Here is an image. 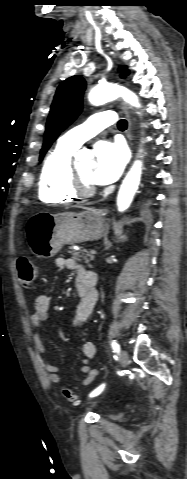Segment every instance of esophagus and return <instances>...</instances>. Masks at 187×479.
<instances>
[{
  "label": "esophagus",
  "instance_id": "esophagus-1",
  "mask_svg": "<svg viewBox=\"0 0 187 479\" xmlns=\"http://www.w3.org/2000/svg\"><path fill=\"white\" fill-rule=\"evenodd\" d=\"M122 109H123V111H124V113L127 117V120H128L127 138L130 142V145L132 146V144H131V141H132V133H131L132 125H131V117H130L129 108L125 103H122Z\"/></svg>",
  "mask_w": 187,
  "mask_h": 479
}]
</instances>
